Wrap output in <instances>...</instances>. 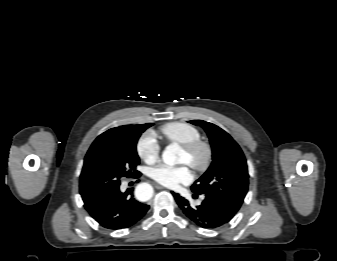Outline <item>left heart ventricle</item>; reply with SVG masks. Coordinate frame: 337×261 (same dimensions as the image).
<instances>
[{
	"mask_svg": "<svg viewBox=\"0 0 337 261\" xmlns=\"http://www.w3.org/2000/svg\"><path fill=\"white\" fill-rule=\"evenodd\" d=\"M203 157V153L199 152L194 159L197 161H200ZM191 160V157L182 149L181 154H180V163H185L188 164L189 161Z\"/></svg>",
	"mask_w": 337,
	"mask_h": 261,
	"instance_id": "1",
	"label": "left heart ventricle"
}]
</instances>
